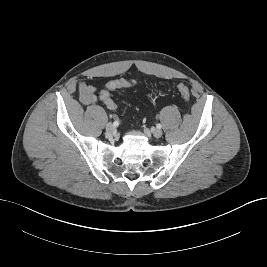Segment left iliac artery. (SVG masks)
<instances>
[{
    "instance_id": "obj_1",
    "label": "left iliac artery",
    "mask_w": 267,
    "mask_h": 267,
    "mask_svg": "<svg viewBox=\"0 0 267 267\" xmlns=\"http://www.w3.org/2000/svg\"><path fill=\"white\" fill-rule=\"evenodd\" d=\"M156 126L158 129H161V127H162L161 124H157Z\"/></svg>"
}]
</instances>
